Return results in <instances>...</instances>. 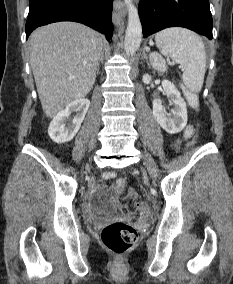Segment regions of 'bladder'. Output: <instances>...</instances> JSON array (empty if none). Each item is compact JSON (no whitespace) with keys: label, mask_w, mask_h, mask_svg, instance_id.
Returning a JSON list of instances; mask_svg holds the SVG:
<instances>
[{"label":"bladder","mask_w":233,"mask_h":284,"mask_svg":"<svg viewBox=\"0 0 233 284\" xmlns=\"http://www.w3.org/2000/svg\"><path fill=\"white\" fill-rule=\"evenodd\" d=\"M111 192L106 188H100L94 192L91 197V201L96 203L97 205H102L107 202L110 198Z\"/></svg>","instance_id":"1"}]
</instances>
